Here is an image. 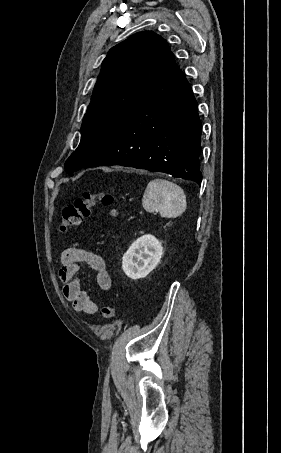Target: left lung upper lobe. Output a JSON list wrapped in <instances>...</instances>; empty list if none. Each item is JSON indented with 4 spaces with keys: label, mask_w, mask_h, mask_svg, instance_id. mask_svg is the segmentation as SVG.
Returning <instances> with one entry per match:
<instances>
[{
    "label": "left lung upper lobe",
    "mask_w": 281,
    "mask_h": 453,
    "mask_svg": "<svg viewBox=\"0 0 281 453\" xmlns=\"http://www.w3.org/2000/svg\"><path fill=\"white\" fill-rule=\"evenodd\" d=\"M170 54L166 41L152 31L134 34L110 49L83 119L80 144L65 162L69 175L91 162L110 142Z\"/></svg>",
    "instance_id": "obj_1"
}]
</instances>
